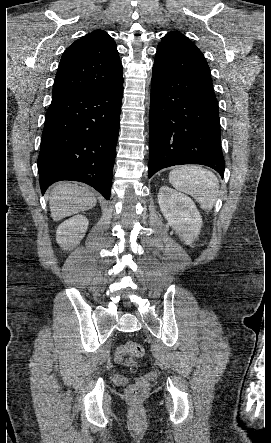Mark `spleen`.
Returning <instances> with one entry per match:
<instances>
[{
  "mask_svg": "<svg viewBox=\"0 0 271 443\" xmlns=\"http://www.w3.org/2000/svg\"><path fill=\"white\" fill-rule=\"evenodd\" d=\"M169 182L175 190L192 196L203 210H212L216 202L219 182L210 170H205L201 166L173 168L169 174Z\"/></svg>",
  "mask_w": 271,
  "mask_h": 443,
  "instance_id": "1",
  "label": "spleen"
}]
</instances>
